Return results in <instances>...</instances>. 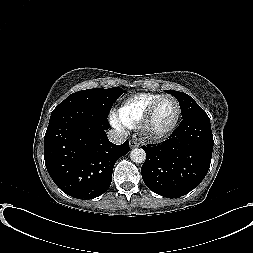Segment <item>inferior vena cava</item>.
Here are the masks:
<instances>
[{
    "label": "inferior vena cava",
    "mask_w": 253,
    "mask_h": 253,
    "mask_svg": "<svg viewBox=\"0 0 253 253\" xmlns=\"http://www.w3.org/2000/svg\"><path fill=\"white\" fill-rule=\"evenodd\" d=\"M108 139L114 144H122L125 142L126 137L117 130L111 129L107 133Z\"/></svg>",
    "instance_id": "obj_1"
}]
</instances>
